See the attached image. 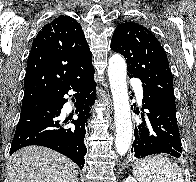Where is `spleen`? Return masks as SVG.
Masks as SVG:
<instances>
[{"label":"spleen","instance_id":"3e777b00","mask_svg":"<svg viewBox=\"0 0 196 182\" xmlns=\"http://www.w3.org/2000/svg\"><path fill=\"white\" fill-rule=\"evenodd\" d=\"M139 182H184L180 167L162 155L144 158L133 167Z\"/></svg>","mask_w":196,"mask_h":182}]
</instances>
